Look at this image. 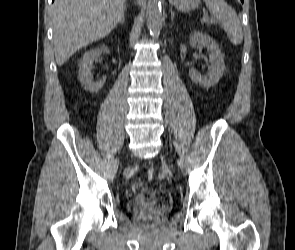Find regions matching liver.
Returning <instances> with one entry per match:
<instances>
[{
  "instance_id": "6515ba94",
  "label": "liver",
  "mask_w": 295,
  "mask_h": 250,
  "mask_svg": "<svg viewBox=\"0 0 295 250\" xmlns=\"http://www.w3.org/2000/svg\"><path fill=\"white\" fill-rule=\"evenodd\" d=\"M126 0H55L53 42L57 64L107 36L124 13Z\"/></svg>"
}]
</instances>
